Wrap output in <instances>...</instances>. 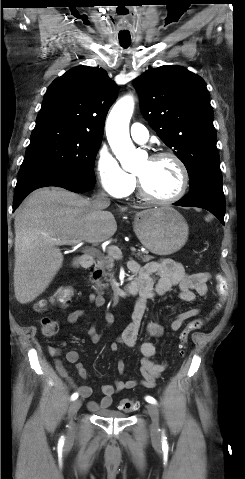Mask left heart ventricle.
I'll list each match as a JSON object with an SVG mask.
<instances>
[{"mask_svg":"<svg viewBox=\"0 0 245 479\" xmlns=\"http://www.w3.org/2000/svg\"><path fill=\"white\" fill-rule=\"evenodd\" d=\"M136 174L143 179L146 190L154 197L165 199L173 196L180 186L181 174L170 158L151 161L145 159Z\"/></svg>","mask_w":245,"mask_h":479,"instance_id":"obj_1","label":"left heart ventricle"}]
</instances>
